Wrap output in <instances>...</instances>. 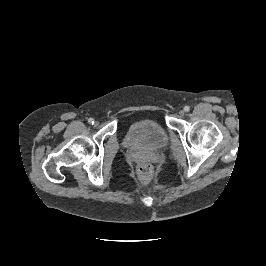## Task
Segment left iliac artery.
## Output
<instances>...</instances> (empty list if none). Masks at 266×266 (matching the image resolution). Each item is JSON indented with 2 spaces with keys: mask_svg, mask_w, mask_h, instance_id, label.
I'll list each match as a JSON object with an SVG mask.
<instances>
[{
  "mask_svg": "<svg viewBox=\"0 0 266 266\" xmlns=\"http://www.w3.org/2000/svg\"><path fill=\"white\" fill-rule=\"evenodd\" d=\"M184 111H185V112H189V111H190V107H189V106H185V107H184Z\"/></svg>",
  "mask_w": 266,
  "mask_h": 266,
  "instance_id": "obj_1",
  "label": "left iliac artery"
}]
</instances>
